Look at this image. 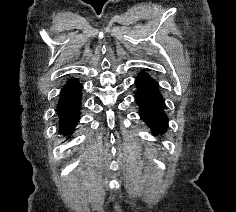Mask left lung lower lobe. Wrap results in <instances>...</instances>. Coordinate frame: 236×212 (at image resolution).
<instances>
[{
    "label": "left lung lower lobe",
    "instance_id": "0a47b994",
    "mask_svg": "<svg viewBox=\"0 0 236 212\" xmlns=\"http://www.w3.org/2000/svg\"><path fill=\"white\" fill-rule=\"evenodd\" d=\"M135 86V100L139 106L140 117L155 135L164 133L168 127V117L164 112L165 100L159 83L146 70H142L136 77Z\"/></svg>",
    "mask_w": 236,
    "mask_h": 212
}]
</instances>
